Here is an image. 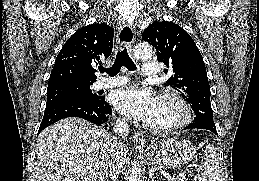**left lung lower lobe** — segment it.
<instances>
[{
	"mask_svg": "<svg viewBox=\"0 0 259 181\" xmlns=\"http://www.w3.org/2000/svg\"><path fill=\"white\" fill-rule=\"evenodd\" d=\"M192 128L206 129V130H209V131L215 133L218 136L217 131H216V127H212V126L205 125V124H200V123L194 122V123L186 126L184 129H192Z\"/></svg>",
	"mask_w": 259,
	"mask_h": 181,
	"instance_id": "0a47b994",
	"label": "left lung lower lobe"
}]
</instances>
